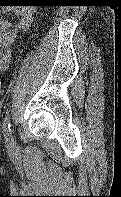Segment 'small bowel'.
Here are the masks:
<instances>
[{
    "label": "small bowel",
    "mask_w": 121,
    "mask_h": 197,
    "mask_svg": "<svg viewBox=\"0 0 121 197\" xmlns=\"http://www.w3.org/2000/svg\"><path fill=\"white\" fill-rule=\"evenodd\" d=\"M12 10L18 16V21L14 26L9 21L0 18V71L8 68L13 57L15 40L20 32L28 29L32 20V13L28 7L0 6V14Z\"/></svg>",
    "instance_id": "small-bowel-1"
}]
</instances>
